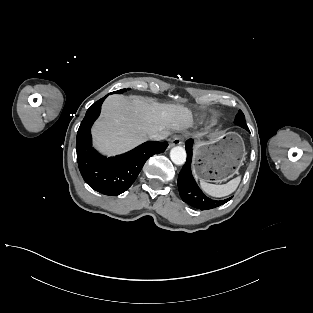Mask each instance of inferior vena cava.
<instances>
[{
  "instance_id": "602c4592",
  "label": "inferior vena cava",
  "mask_w": 313,
  "mask_h": 313,
  "mask_svg": "<svg viewBox=\"0 0 313 313\" xmlns=\"http://www.w3.org/2000/svg\"><path fill=\"white\" fill-rule=\"evenodd\" d=\"M165 137H166L165 134L159 133V132L149 134V138H150V139H152V140H157V141L162 140V139H164Z\"/></svg>"
}]
</instances>
